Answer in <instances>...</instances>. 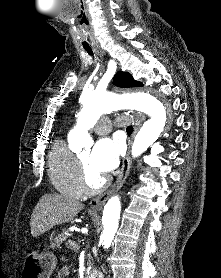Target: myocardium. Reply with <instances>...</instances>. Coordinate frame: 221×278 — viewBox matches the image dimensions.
I'll list each match as a JSON object with an SVG mask.
<instances>
[{
    "label": "myocardium",
    "mask_w": 221,
    "mask_h": 278,
    "mask_svg": "<svg viewBox=\"0 0 221 278\" xmlns=\"http://www.w3.org/2000/svg\"><path fill=\"white\" fill-rule=\"evenodd\" d=\"M77 164L79 180L83 190L86 193L96 194L102 192L107 188L109 184V178L103 177L102 180H100L97 184H93L90 180V175L86 166L79 157H77Z\"/></svg>",
    "instance_id": "obj_1"
}]
</instances>
